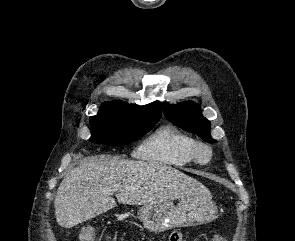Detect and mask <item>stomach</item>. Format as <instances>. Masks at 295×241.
Segmentation results:
<instances>
[{
	"label": "stomach",
	"mask_w": 295,
	"mask_h": 241,
	"mask_svg": "<svg viewBox=\"0 0 295 241\" xmlns=\"http://www.w3.org/2000/svg\"><path fill=\"white\" fill-rule=\"evenodd\" d=\"M137 214L147 230L157 233L210 222L216 218L217 206L209 193L187 197L177 205L172 202L143 205Z\"/></svg>",
	"instance_id": "0dacf381"
}]
</instances>
